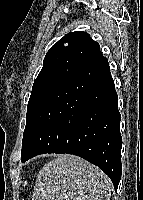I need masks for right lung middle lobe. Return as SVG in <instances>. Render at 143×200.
<instances>
[{"label": "right lung middle lobe", "instance_id": "right-lung-middle-lobe-1", "mask_svg": "<svg viewBox=\"0 0 143 200\" xmlns=\"http://www.w3.org/2000/svg\"><path fill=\"white\" fill-rule=\"evenodd\" d=\"M65 78L66 76H50L34 82L27 106L26 126L23 134V140L27 135L28 128L38 108Z\"/></svg>", "mask_w": 143, "mask_h": 200}]
</instances>
